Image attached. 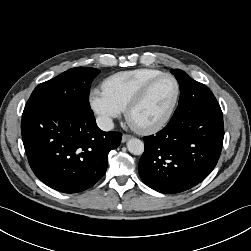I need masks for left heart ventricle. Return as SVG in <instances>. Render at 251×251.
I'll return each instance as SVG.
<instances>
[{
	"instance_id": "1",
	"label": "left heart ventricle",
	"mask_w": 251,
	"mask_h": 251,
	"mask_svg": "<svg viewBox=\"0 0 251 251\" xmlns=\"http://www.w3.org/2000/svg\"><path fill=\"white\" fill-rule=\"evenodd\" d=\"M174 95V81L171 78L159 80L151 88L143 103L134 111V121L147 124L159 120L169 109Z\"/></svg>"
}]
</instances>
